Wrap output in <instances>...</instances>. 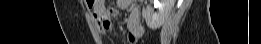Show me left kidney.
I'll use <instances>...</instances> for the list:
<instances>
[{
  "label": "left kidney",
  "instance_id": "obj_1",
  "mask_svg": "<svg viewBox=\"0 0 261 44\" xmlns=\"http://www.w3.org/2000/svg\"><path fill=\"white\" fill-rule=\"evenodd\" d=\"M174 3L175 0H160L157 12H154L151 6H147L145 12L147 26L152 30L160 28L169 16Z\"/></svg>",
  "mask_w": 261,
  "mask_h": 44
}]
</instances>
